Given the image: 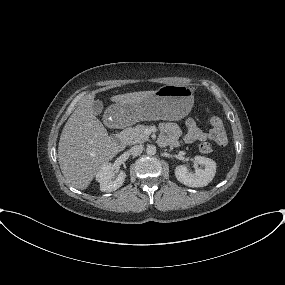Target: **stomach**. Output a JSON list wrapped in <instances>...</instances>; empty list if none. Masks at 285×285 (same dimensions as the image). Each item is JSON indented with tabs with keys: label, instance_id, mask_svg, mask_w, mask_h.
<instances>
[{
	"label": "stomach",
	"instance_id": "0dacf381",
	"mask_svg": "<svg viewBox=\"0 0 285 285\" xmlns=\"http://www.w3.org/2000/svg\"><path fill=\"white\" fill-rule=\"evenodd\" d=\"M194 91L185 85H164L152 95L127 104H113L108 115L120 125L139 121L179 120L191 111Z\"/></svg>",
	"mask_w": 285,
	"mask_h": 285
}]
</instances>
